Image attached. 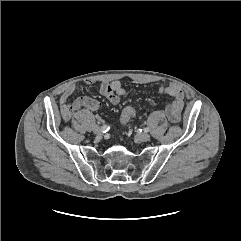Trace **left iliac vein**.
<instances>
[{"instance_id":"1","label":"left iliac vein","mask_w":241,"mask_h":241,"mask_svg":"<svg viewBox=\"0 0 241 241\" xmlns=\"http://www.w3.org/2000/svg\"><path fill=\"white\" fill-rule=\"evenodd\" d=\"M137 139L141 142H146L150 140V135L148 133H140L137 135Z\"/></svg>"}]
</instances>
